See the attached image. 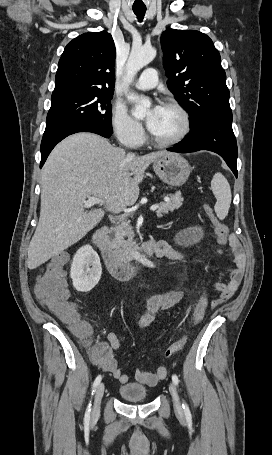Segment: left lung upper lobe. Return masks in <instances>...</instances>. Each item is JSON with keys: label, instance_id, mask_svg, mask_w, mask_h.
Returning <instances> with one entry per match:
<instances>
[{"label": "left lung upper lobe", "instance_id": "1", "mask_svg": "<svg viewBox=\"0 0 272 455\" xmlns=\"http://www.w3.org/2000/svg\"><path fill=\"white\" fill-rule=\"evenodd\" d=\"M161 46L167 86L189 113L190 126L215 114L231 113L226 74L209 36L167 29Z\"/></svg>", "mask_w": 272, "mask_h": 455}]
</instances>
